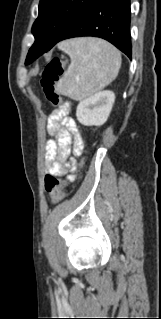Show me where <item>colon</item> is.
<instances>
[{
	"label": "colon",
	"instance_id": "5ec220e1",
	"mask_svg": "<svg viewBox=\"0 0 161 319\" xmlns=\"http://www.w3.org/2000/svg\"><path fill=\"white\" fill-rule=\"evenodd\" d=\"M65 71L64 62L60 58L51 59L41 74V87L48 101L54 106L60 108L65 114L69 112V104L62 100L56 91L55 85L63 76ZM65 183L63 180L53 176L47 175L44 181V189L47 194L51 196L52 202L58 205L64 198L62 188Z\"/></svg>",
	"mask_w": 161,
	"mask_h": 319
}]
</instances>
